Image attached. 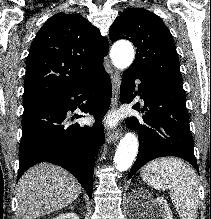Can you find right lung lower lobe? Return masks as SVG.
Instances as JSON below:
<instances>
[{
    "label": "right lung lower lobe",
    "mask_w": 211,
    "mask_h": 219,
    "mask_svg": "<svg viewBox=\"0 0 211 219\" xmlns=\"http://www.w3.org/2000/svg\"><path fill=\"white\" fill-rule=\"evenodd\" d=\"M111 92L110 78L102 69L54 98L24 109L17 180L33 165L50 162L72 173L91 198L94 162L104 143L102 117ZM76 108L94 115L93 127L67 124V112Z\"/></svg>",
    "instance_id": "obj_1"
}]
</instances>
